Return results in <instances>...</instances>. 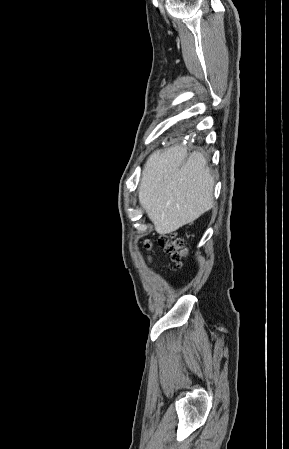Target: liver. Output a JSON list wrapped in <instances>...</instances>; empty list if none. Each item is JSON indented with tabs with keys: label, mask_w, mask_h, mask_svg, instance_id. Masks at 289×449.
Masks as SVG:
<instances>
[{
	"label": "liver",
	"mask_w": 289,
	"mask_h": 449,
	"mask_svg": "<svg viewBox=\"0 0 289 449\" xmlns=\"http://www.w3.org/2000/svg\"><path fill=\"white\" fill-rule=\"evenodd\" d=\"M214 180L203 154L176 145L148 158L139 202L160 235L191 224L213 206Z\"/></svg>",
	"instance_id": "liver-1"
}]
</instances>
